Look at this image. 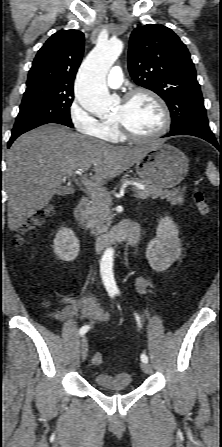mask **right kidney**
Returning a JSON list of instances; mask_svg holds the SVG:
<instances>
[{"instance_id": "1", "label": "right kidney", "mask_w": 222, "mask_h": 447, "mask_svg": "<svg viewBox=\"0 0 222 447\" xmlns=\"http://www.w3.org/2000/svg\"><path fill=\"white\" fill-rule=\"evenodd\" d=\"M80 243L69 228H60L55 235L53 251L63 261H73L79 253Z\"/></svg>"}]
</instances>
